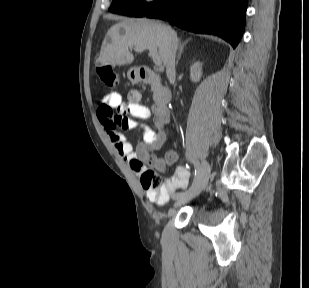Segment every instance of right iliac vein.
Instances as JSON below:
<instances>
[{"label":"right iliac vein","instance_id":"63e3f726","mask_svg":"<svg viewBox=\"0 0 309 288\" xmlns=\"http://www.w3.org/2000/svg\"><path fill=\"white\" fill-rule=\"evenodd\" d=\"M200 177H199V184H197V187H195V190H190L185 195H180L178 199H175L176 204H180L182 202H185L192 196L198 195L201 190H203L206 186V181L210 173V166L207 161L203 160L201 162V169H200Z\"/></svg>","mask_w":309,"mask_h":288}]
</instances>
